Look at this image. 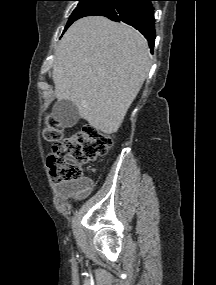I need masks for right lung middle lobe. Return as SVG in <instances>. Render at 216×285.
<instances>
[{
    "mask_svg": "<svg viewBox=\"0 0 216 285\" xmlns=\"http://www.w3.org/2000/svg\"><path fill=\"white\" fill-rule=\"evenodd\" d=\"M79 1L77 7L72 12L67 25L64 29H66L77 19L92 16L102 11L103 9L113 5L118 0H76Z\"/></svg>",
    "mask_w": 216,
    "mask_h": 285,
    "instance_id": "1",
    "label": "right lung middle lobe"
}]
</instances>
